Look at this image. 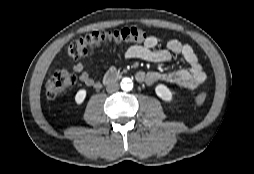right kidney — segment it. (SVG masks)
Here are the masks:
<instances>
[{
	"mask_svg": "<svg viewBox=\"0 0 254 174\" xmlns=\"http://www.w3.org/2000/svg\"><path fill=\"white\" fill-rule=\"evenodd\" d=\"M85 97H86V90L85 89L79 90L75 96L76 103L81 104L84 101Z\"/></svg>",
	"mask_w": 254,
	"mask_h": 174,
	"instance_id": "right-kidney-1",
	"label": "right kidney"
}]
</instances>
